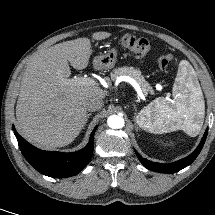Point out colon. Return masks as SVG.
<instances>
[{"mask_svg":"<svg viewBox=\"0 0 215 215\" xmlns=\"http://www.w3.org/2000/svg\"><path fill=\"white\" fill-rule=\"evenodd\" d=\"M121 44L129 54L137 59L144 58L151 50L152 43L150 40L133 35H125L121 39ZM172 61L170 53H164L158 56L157 62L160 68L165 69Z\"/></svg>","mask_w":215,"mask_h":215,"instance_id":"colon-1","label":"colon"}]
</instances>
